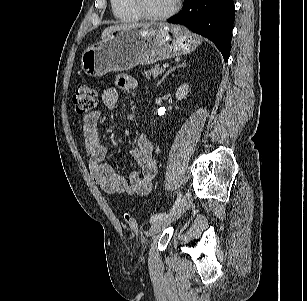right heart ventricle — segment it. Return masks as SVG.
<instances>
[{"mask_svg": "<svg viewBox=\"0 0 307 301\" xmlns=\"http://www.w3.org/2000/svg\"><path fill=\"white\" fill-rule=\"evenodd\" d=\"M110 2L113 14L121 22H135L141 19L130 0H110Z\"/></svg>", "mask_w": 307, "mask_h": 301, "instance_id": "e07e8e85", "label": "right heart ventricle"}]
</instances>
